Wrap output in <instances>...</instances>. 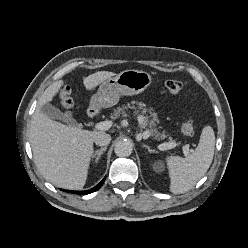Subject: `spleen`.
<instances>
[{"label": "spleen", "instance_id": "1", "mask_svg": "<svg viewBox=\"0 0 248 248\" xmlns=\"http://www.w3.org/2000/svg\"><path fill=\"white\" fill-rule=\"evenodd\" d=\"M214 146V131L212 127L206 126L192 154L185 158L179 156L166 158L172 193L187 192L205 175L213 160Z\"/></svg>", "mask_w": 248, "mask_h": 248}]
</instances>
